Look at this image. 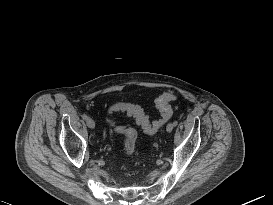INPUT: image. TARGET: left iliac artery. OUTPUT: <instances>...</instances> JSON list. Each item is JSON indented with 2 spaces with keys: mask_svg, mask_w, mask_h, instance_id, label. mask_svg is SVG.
<instances>
[{
  "mask_svg": "<svg viewBox=\"0 0 273 205\" xmlns=\"http://www.w3.org/2000/svg\"><path fill=\"white\" fill-rule=\"evenodd\" d=\"M173 124H174V126H176V125L178 124V122H177V121H174V123H173Z\"/></svg>",
  "mask_w": 273,
  "mask_h": 205,
  "instance_id": "1",
  "label": "left iliac artery"
}]
</instances>
